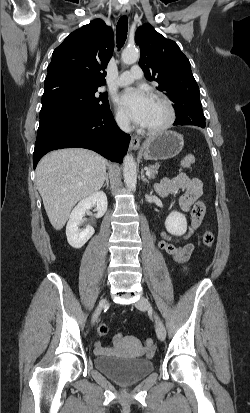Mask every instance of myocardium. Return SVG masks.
<instances>
[{"instance_id":"f54148a6","label":"myocardium","mask_w":250,"mask_h":413,"mask_svg":"<svg viewBox=\"0 0 250 413\" xmlns=\"http://www.w3.org/2000/svg\"><path fill=\"white\" fill-rule=\"evenodd\" d=\"M152 99L159 102L161 105H163L167 111V119L162 125L157 126V127H152V128H147V127L143 128V130L146 133L151 134V135H156V134H161L172 127L176 119V111H175V108L172 102L165 95L160 94V93H154L152 95Z\"/></svg>"}]
</instances>
